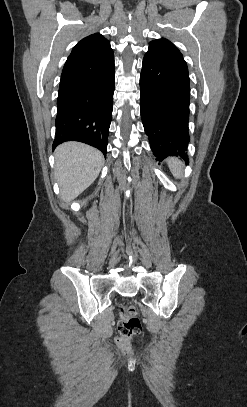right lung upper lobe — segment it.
<instances>
[{
    "instance_id": "cb5924a9",
    "label": "right lung upper lobe",
    "mask_w": 247,
    "mask_h": 407,
    "mask_svg": "<svg viewBox=\"0 0 247 407\" xmlns=\"http://www.w3.org/2000/svg\"><path fill=\"white\" fill-rule=\"evenodd\" d=\"M114 56L110 42L95 33L79 41L72 49L61 75V84L75 80L88 70Z\"/></svg>"
}]
</instances>
